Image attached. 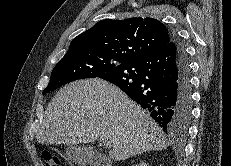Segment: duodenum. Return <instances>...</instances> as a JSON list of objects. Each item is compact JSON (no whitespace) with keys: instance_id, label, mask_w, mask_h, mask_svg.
Segmentation results:
<instances>
[{"instance_id":"duodenum-1","label":"duodenum","mask_w":231,"mask_h":166,"mask_svg":"<svg viewBox=\"0 0 231 166\" xmlns=\"http://www.w3.org/2000/svg\"><path fill=\"white\" fill-rule=\"evenodd\" d=\"M78 158L87 162L91 166H110L107 159L102 154L93 150L79 152Z\"/></svg>"}]
</instances>
